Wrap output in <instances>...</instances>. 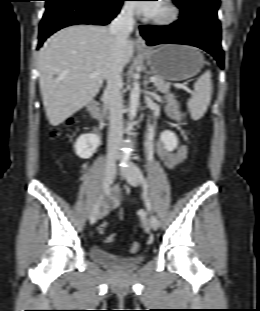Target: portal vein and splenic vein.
I'll use <instances>...</instances> for the list:
<instances>
[{
    "label": "portal vein and splenic vein",
    "mask_w": 260,
    "mask_h": 311,
    "mask_svg": "<svg viewBox=\"0 0 260 311\" xmlns=\"http://www.w3.org/2000/svg\"><path fill=\"white\" fill-rule=\"evenodd\" d=\"M98 75V72H93L90 76L91 77H95ZM156 81V78L155 77H150V82H155Z\"/></svg>",
    "instance_id": "portal-vein-and-splenic-vein-1"
}]
</instances>
